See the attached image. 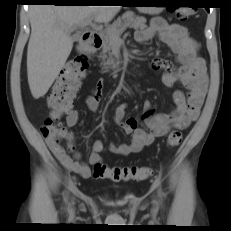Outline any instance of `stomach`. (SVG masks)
<instances>
[{"label":"stomach","mask_w":231,"mask_h":231,"mask_svg":"<svg viewBox=\"0 0 231 231\" xmlns=\"http://www.w3.org/2000/svg\"><path fill=\"white\" fill-rule=\"evenodd\" d=\"M141 4H159L161 1L157 0H141L139 1ZM164 8L163 7H138L139 12L146 13V14H158L160 13Z\"/></svg>","instance_id":"0dacf381"}]
</instances>
